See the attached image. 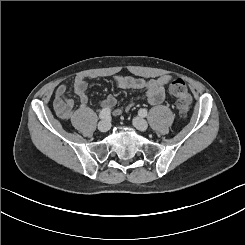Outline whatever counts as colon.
Masks as SVG:
<instances>
[{"label":"colon","instance_id":"5ec220e1","mask_svg":"<svg viewBox=\"0 0 245 245\" xmlns=\"http://www.w3.org/2000/svg\"><path fill=\"white\" fill-rule=\"evenodd\" d=\"M169 90L176 98V106L182 116H186L191 108V96L186 83L182 79L170 80Z\"/></svg>","mask_w":245,"mask_h":245}]
</instances>
